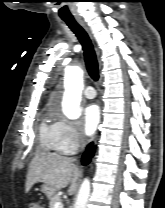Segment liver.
Instances as JSON below:
<instances>
[{"instance_id":"liver-1","label":"liver","mask_w":165,"mask_h":208,"mask_svg":"<svg viewBox=\"0 0 165 208\" xmlns=\"http://www.w3.org/2000/svg\"><path fill=\"white\" fill-rule=\"evenodd\" d=\"M80 176L81 172L72 158L58 154L39 153L30 162L25 191L27 193L37 182L51 186L56 191L70 184L68 194L73 195Z\"/></svg>"}]
</instances>
